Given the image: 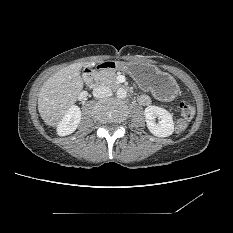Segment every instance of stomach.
Listing matches in <instances>:
<instances>
[{
    "mask_svg": "<svg viewBox=\"0 0 233 233\" xmlns=\"http://www.w3.org/2000/svg\"><path fill=\"white\" fill-rule=\"evenodd\" d=\"M120 68L128 73L140 87L149 90L160 100L171 101L179 92V86L175 79L155 65L141 62H121Z\"/></svg>",
    "mask_w": 233,
    "mask_h": 233,
    "instance_id": "obj_1",
    "label": "stomach"
}]
</instances>
